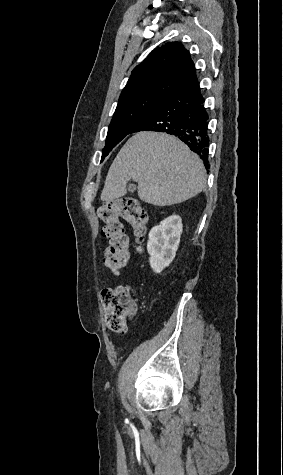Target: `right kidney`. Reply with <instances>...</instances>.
Listing matches in <instances>:
<instances>
[{
    "label": "right kidney",
    "mask_w": 283,
    "mask_h": 475,
    "mask_svg": "<svg viewBox=\"0 0 283 475\" xmlns=\"http://www.w3.org/2000/svg\"><path fill=\"white\" fill-rule=\"evenodd\" d=\"M180 216H169L154 226L149 232L147 249L150 255V265L155 273H160L173 261L182 234Z\"/></svg>",
    "instance_id": "obj_1"
}]
</instances>
